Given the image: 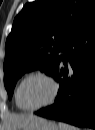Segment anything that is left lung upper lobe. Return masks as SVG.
I'll list each match as a JSON object with an SVG mask.
<instances>
[{"mask_svg": "<svg viewBox=\"0 0 95 130\" xmlns=\"http://www.w3.org/2000/svg\"><path fill=\"white\" fill-rule=\"evenodd\" d=\"M95 13V0H37L16 16L6 41L4 85L9 99L16 81L39 69L53 76L81 22Z\"/></svg>", "mask_w": 95, "mask_h": 130, "instance_id": "obj_1", "label": "left lung upper lobe"}]
</instances>
